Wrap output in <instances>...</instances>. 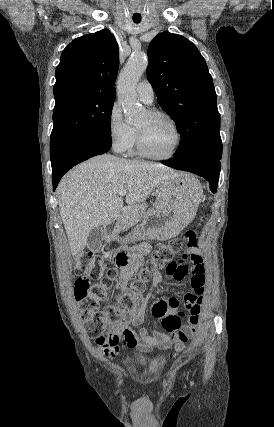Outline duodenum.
I'll return each mask as SVG.
<instances>
[{
    "label": "duodenum",
    "instance_id": "410a0bca",
    "mask_svg": "<svg viewBox=\"0 0 274 427\" xmlns=\"http://www.w3.org/2000/svg\"><path fill=\"white\" fill-rule=\"evenodd\" d=\"M117 224L116 222H109L106 226H105V233L106 235H111L114 233V231L116 230Z\"/></svg>",
    "mask_w": 274,
    "mask_h": 427
}]
</instances>
